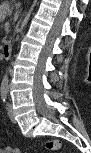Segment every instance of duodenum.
Wrapping results in <instances>:
<instances>
[{
	"instance_id": "duodenum-1",
	"label": "duodenum",
	"mask_w": 91,
	"mask_h": 153,
	"mask_svg": "<svg viewBox=\"0 0 91 153\" xmlns=\"http://www.w3.org/2000/svg\"><path fill=\"white\" fill-rule=\"evenodd\" d=\"M12 53V44L7 42L3 46V58L5 60H9Z\"/></svg>"
}]
</instances>
